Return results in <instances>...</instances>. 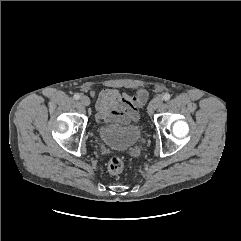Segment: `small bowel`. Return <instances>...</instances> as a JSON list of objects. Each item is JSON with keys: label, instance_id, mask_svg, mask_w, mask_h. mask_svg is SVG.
I'll return each instance as SVG.
<instances>
[{"label": "small bowel", "instance_id": "obj_1", "mask_svg": "<svg viewBox=\"0 0 241 241\" xmlns=\"http://www.w3.org/2000/svg\"><path fill=\"white\" fill-rule=\"evenodd\" d=\"M146 100L147 92L143 89L132 95L115 89H103L97 98V119L124 125L134 123L138 120L139 108Z\"/></svg>", "mask_w": 241, "mask_h": 241}]
</instances>
